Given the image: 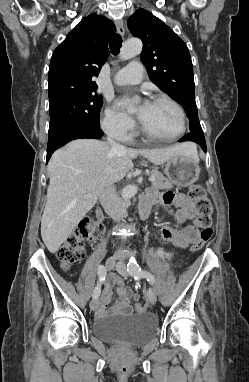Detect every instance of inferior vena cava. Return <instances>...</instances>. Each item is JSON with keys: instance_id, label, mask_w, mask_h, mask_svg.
<instances>
[{"instance_id": "obj_1", "label": "inferior vena cava", "mask_w": 249, "mask_h": 382, "mask_svg": "<svg viewBox=\"0 0 249 382\" xmlns=\"http://www.w3.org/2000/svg\"><path fill=\"white\" fill-rule=\"evenodd\" d=\"M109 144L118 150H124L125 147L116 143L112 137H107ZM99 201L105 212L115 221H120L125 215V209L121 205L119 196L113 183L108 184L100 193Z\"/></svg>"}]
</instances>
